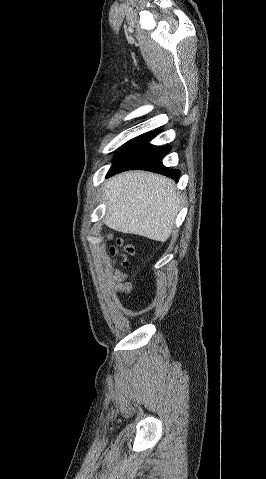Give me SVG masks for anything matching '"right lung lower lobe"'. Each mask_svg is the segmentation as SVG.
<instances>
[{
  "label": "right lung lower lobe",
  "mask_w": 266,
  "mask_h": 479,
  "mask_svg": "<svg viewBox=\"0 0 266 479\" xmlns=\"http://www.w3.org/2000/svg\"><path fill=\"white\" fill-rule=\"evenodd\" d=\"M160 131L145 133L127 142L115 155V162L106 177L127 170L141 169L160 173L178 181L180 171L162 164V159L170 151V146L159 147L149 144Z\"/></svg>",
  "instance_id": "98d812e1"
}]
</instances>
